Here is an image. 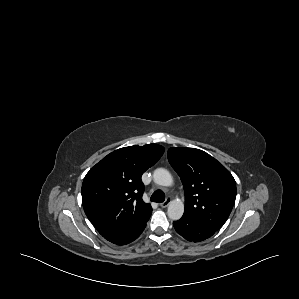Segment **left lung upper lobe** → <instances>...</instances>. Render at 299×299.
<instances>
[{"label": "left lung upper lobe", "mask_w": 299, "mask_h": 299, "mask_svg": "<svg viewBox=\"0 0 299 299\" xmlns=\"http://www.w3.org/2000/svg\"><path fill=\"white\" fill-rule=\"evenodd\" d=\"M168 160L184 186L182 217L216 232L229 217L236 198L231 173L208 153L195 148H170Z\"/></svg>", "instance_id": "5c2ea615"}]
</instances>
